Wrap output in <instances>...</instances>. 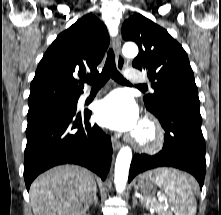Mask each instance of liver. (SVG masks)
Wrapping results in <instances>:
<instances>
[{
  "mask_svg": "<svg viewBox=\"0 0 221 215\" xmlns=\"http://www.w3.org/2000/svg\"><path fill=\"white\" fill-rule=\"evenodd\" d=\"M94 175L76 165L54 167L31 184L34 215H84L93 200Z\"/></svg>",
  "mask_w": 221,
  "mask_h": 215,
  "instance_id": "liver-1",
  "label": "liver"
}]
</instances>
